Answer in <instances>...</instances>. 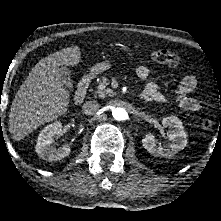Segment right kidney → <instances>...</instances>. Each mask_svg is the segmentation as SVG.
Wrapping results in <instances>:
<instances>
[{
    "label": "right kidney",
    "instance_id": "ca27d5eb",
    "mask_svg": "<svg viewBox=\"0 0 221 221\" xmlns=\"http://www.w3.org/2000/svg\"><path fill=\"white\" fill-rule=\"evenodd\" d=\"M62 131V124L56 121L50 125H47L38 136L36 144V153L44 160L57 161L67 157L71 148L68 145L55 148L51 144L53 142V136L59 134Z\"/></svg>",
    "mask_w": 221,
    "mask_h": 221
}]
</instances>
